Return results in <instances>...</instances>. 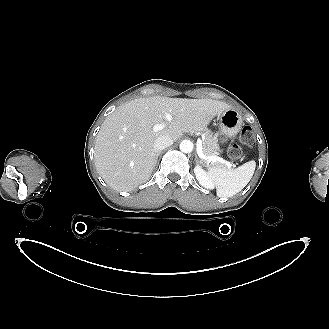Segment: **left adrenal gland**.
<instances>
[{
    "mask_svg": "<svg viewBox=\"0 0 329 329\" xmlns=\"http://www.w3.org/2000/svg\"><path fill=\"white\" fill-rule=\"evenodd\" d=\"M195 162H196V163H200V162H201V161L199 160V158H198L197 155H195Z\"/></svg>",
    "mask_w": 329,
    "mask_h": 329,
    "instance_id": "obj_1",
    "label": "left adrenal gland"
}]
</instances>
